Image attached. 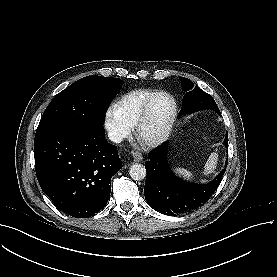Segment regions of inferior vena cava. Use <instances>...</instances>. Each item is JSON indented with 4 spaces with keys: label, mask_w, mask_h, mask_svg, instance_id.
<instances>
[{
    "label": "inferior vena cava",
    "mask_w": 277,
    "mask_h": 277,
    "mask_svg": "<svg viewBox=\"0 0 277 277\" xmlns=\"http://www.w3.org/2000/svg\"><path fill=\"white\" fill-rule=\"evenodd\" d=\"M108 137L114 143H121L123 140L122 135L116 130H109Z\"/></svg>",
    "instance_id": "obj_1"
}]
</instances>
